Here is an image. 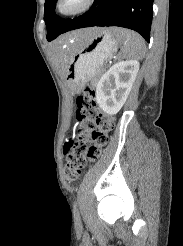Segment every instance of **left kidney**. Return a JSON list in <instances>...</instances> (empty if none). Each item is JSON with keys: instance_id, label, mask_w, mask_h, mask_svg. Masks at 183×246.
I'll list each match as a JSON object with an SVG mask.
<instances>
[{"instance_id": "1", "label": "left kidney", "mask_w": 183, "mask_h": 246, "mask_svg": "<svg viewBox=\"0 0 183 246\" xmlns=\"http://www.w3.org/2000/svg\"><path fill=\"white\" fill-rule=\"evenodd\" d=\"M137 60L119 61L105 72L96 87V100L109 115L117 114L131 91L139 70Z\"/></svg>"}]
</instances>
